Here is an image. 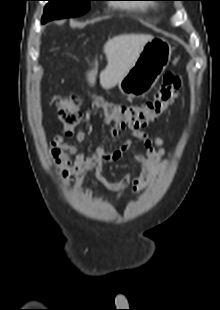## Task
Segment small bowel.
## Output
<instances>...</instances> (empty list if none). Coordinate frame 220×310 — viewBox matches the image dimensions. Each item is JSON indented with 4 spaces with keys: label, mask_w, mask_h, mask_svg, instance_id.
<instances>
[{
    "label": "small bowel",
    "mask_w": 220,
    "mask_h": 310,
    "mask_svg": "<svg viewBox=\"0 0 220 310\" xmlns=\"http://www.w3.org/2000/svg\"><path fill=\"white\" fill-rule=\"evenodd\" d=\"M108 134L115 138L119 130L111 127ZM133 135L142 141L145 153L133 152L131 141H126L116 149L98 147L90 154H86L67 143L64 136L57 135L50 144V155L53 163L61 167V177L66 183L73 179L76 180V190L79 193H84L83 181L87 172L93 171L96 180L106 188L114 191L130 188L133 194H138L167 168L169 161L163 159L166 154L163 139H151L139 130L133 131ZM73 139L82 144L87 139V133L79 131ZM126 153H131L133 158L142 165V174L134 179L127 175L119 182H109L102 174L103 163L118 161Z\"/></svg>",
    "instance_id": "1"
}]
</instances>
